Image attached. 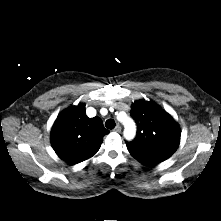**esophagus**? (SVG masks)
Returning <instances> with one entry per match:
<instances>
[{"label": "esophagus", "instance_id": "obj_1", "mask_svg": "<svg viewBox=\"0 0 221 221\" xmlns=\"http://www.w3.org/2000/svg\"><path fill=\"white\" fill-rule=\"evenodd\" d=\"M121 126L120 125H117L115 128H114V132H117V133H120L121 132Z\"/></svg>", "mask_w": 221, "mask_h": 221}]
</instances>
